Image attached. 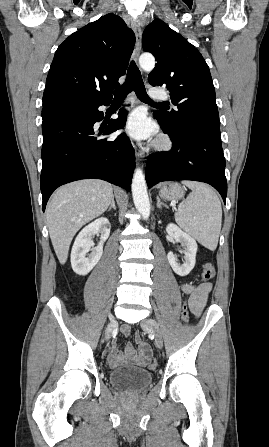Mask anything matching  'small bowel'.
Listing matches in <instances>:
<instances>
[{
    "label": "small bowel",
    "instance_id": "c3829d8e",
    "mask_svg": "<svg viewBox=\"0 0 269 447\" xmlns=\"http://www.w3.org/2000/svg\"><path fill=\"white\" fill-rule=\"evenodd\" d=\"M181 290L184 294L189 296L188 305L191 312L196 318L199 317L206 306L208 295L212 290V284L208 282L200 284L184 283L181 285ZM121 332L124 335H128L130 333V328L124 326L122 327ZM134 337L136 339L139 354H136L135 347L131 343H128L125 346L123 355H121L118 348L113 345L108 355V364L111 367L120 366L125 361H133L136 365L144 367L145 361H153L152 356H143L142 354L143 347L149 346L148 343L140 340L143 337L142 332H135Z\"/></svg>",
    "mask_w": 269,
    "mask_h": 447
}]
</instances>
